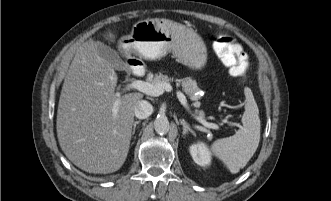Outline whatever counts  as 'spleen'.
Here are the masks:
<instances>
[{
  "mask_svg": "<svg viewBox=\"0 0 331 201\" xmlns=\"http://www.w3.org/2000/svg\"><path fill=\"white\" fill-rule=\"evenodd\" d=\"M257 104L252 95L246 99L243 126L235 135L217 139L211 145L216 157L224 162L229 171L238 173L244 168L257 150L260 141V118Z\"/></svg>",
  "mask_w": 331,
  "mask_h": 201,
  "instance_id": "obj_1",
  "label": "spleen"
}]
</instances>
